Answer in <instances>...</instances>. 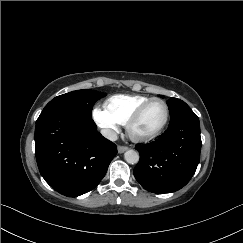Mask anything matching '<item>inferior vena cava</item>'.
Segmentation results:
<instances>
[{
    "label": "inferior vena cava",
    "mask_w": 243,
    "mask_h": 243,
    "mask_svg": "<svg viewBox=\"0 0 243 243\" xmlns=\"http://www.w3.org/2000/svg\"><path fill=\"white\" fill-rule=\"evenodd\" d=\"M101 134L110 141H116L118 138L117 133L111 129H102Z\"/></svg>",
    "instance_id": "obj_1"
}]
</instances>
